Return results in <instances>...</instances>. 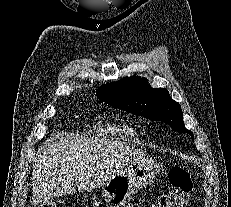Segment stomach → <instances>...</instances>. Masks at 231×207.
I'll return each instance as SVG.
<instances>
[{
	"label": "stomach",
	"instance_id": "0dacf381",
	"mask_svg": "<svg viewBox=\"0 0 231 207\" xmlns=\"http://www.w3.org/2000/svg\"><path fill=\"white\" fill-rule=\"evenodd\" d=\"M159 171L156 160L142 157L129 164L124 171L113 174L102 185L107 207H124L142 188L151 184Z\"/></svg>",
	"mask_w": 231,
	"mask_h": 207
}]
</instances>
